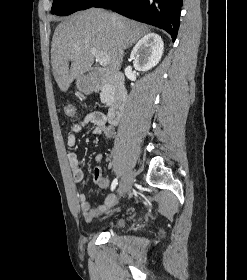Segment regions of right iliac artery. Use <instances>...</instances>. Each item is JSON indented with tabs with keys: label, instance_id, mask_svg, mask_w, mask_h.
<instances>
[{
	"label": "right iliac artery",
	"instance_id": "82829eb1",
	"mask_svg": "<svg viewBox=\"0 0 247 280\" xmlns=\"http://www.w3.org/2000/svg\"><path fill=\"white\" fill-rule=\"evenodd\" d=\"M117 184H118V180L117 178H115L111 184V191H113L116 188Z\"/></svg>",
	"mask_w": 247,
	"mask_h": 280
}]
</instances>
